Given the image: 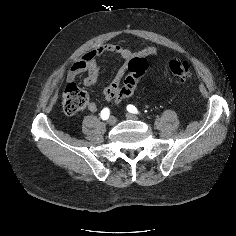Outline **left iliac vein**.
I'll return each instance as SVG.
<instances>
[{"mask_svg": "<svg viewBox=\"0 0 236 236\" xmlns=\"http://www.w3.org/2000/svg\"><path fill=\"white\" fill-rule=\"evenodd\" d=\"M126 117H127L128 119H131V120H137V119H138V117H137L136 115L131 114V113H127V114H126Z\"/></svg>", "mask_w": 236, "mask_h": 236, "instance_id": "left-iliac-vein-1", "label": "left iliac vein"}]
</instances>
